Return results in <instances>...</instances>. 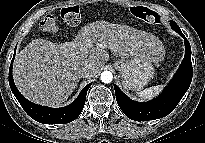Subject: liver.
Returning a JSON list of instances; mask_svg holds the SVG:
<instances>
[{"mask_svg":"<svg viewBox=\"0 0 205 143\" xmlns=\"http://www.w3.org/2000/svg\"><path fill=\"white\" fill-rule=\"evenodd\" d=\"M101 43L121 58L149 55L158 62L164 53L154 35L127 25L96 21L83 26L71 42L32 40L15 57V85L34 103L59 106L77 87L82 67L92 65L96 75L109 60L106 48L97 46ZM158 51L162 52L160 57L156 56Z\"/></svg>","mask_w":205,"mask_h":143,"instance_id":"liver-1","label":"liver"}]
</instances>
